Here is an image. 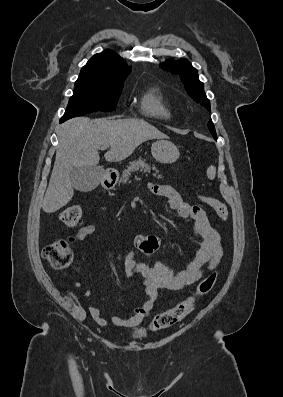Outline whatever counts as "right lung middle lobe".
I'll return each mask as SVG.
<instances>
[{
    "label": "right lung middle lobe",
    "mask_w": 283,
    "mask_h": 397,
    "mask_svg": "<svg viewBox=\"0 0 283 397\" xmlns=\"http://www.w3.org/2000/svg\"><path fill=\"white\" fill-rule=\"evenodd\" d=\"M121 81H100L79 77L74 94L70 97L60 122L81 116L90 111H112L115 109L124 86Z\"/></svg>",
    "instance_id": "obj_1"
}]
</instances>
